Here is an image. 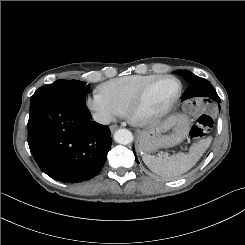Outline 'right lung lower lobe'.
Returning a JSON list of instances; mask_svg holds the SVG:
<instances>
[{
	"mask_svg": "<svg viewBox=\"0 0 245 245\" xmlns=\"http://www.w3.org/2000/svg\"><path fill=\"white\" fill-rule=\"evenodd\" d=\"M91 119L86 106L57 100L30 108L28 144L44 173L75 183L100 172L111 147L110 130Z\"/></svg>",
	"mask_w": 245,
	"mask_h": 245,
	"instance_id": "1",
	"label": "right lung lower lobe"
}]
</instances>
